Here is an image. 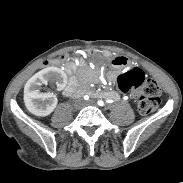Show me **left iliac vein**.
Segmentation results:
<instances>
[{"instance_id": "4c4485c4", "label": "left iliac vein", "mask_w": 183, "mask_h": 183, "mask_svg": "<svg viewBox=\"0 0 183 183\" xmlns=\"http://www.w3.org/2000/svg\"><path fill=\"white\" fill-rule=\"evenodd\" d=\"M85 105H93V106H95L96 104L93 101H88V102L85 103Z\"/></svg>"}]
</instances>
